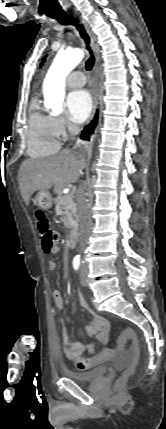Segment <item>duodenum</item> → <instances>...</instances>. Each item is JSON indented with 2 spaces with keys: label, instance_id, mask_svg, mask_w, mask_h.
I'll return each instance as SVG.
<instances>
[{
  "label": "duodenum",
  "instance_id": "1",
  "mask_svg": "<svg viewBox=\"0 0 166 429\" xmlns=\"http://www.w3.org/2000/svg\"><path fill=\"white\" fill-rule=\"evenodd\" d=\"M76 240H77V234H76V232L70 233V235L68 237V245H69L70 248H74L75 247Z\"/></svg>",
  "mask_w": 166,
  "mask_h": 429
}]
</instances>
